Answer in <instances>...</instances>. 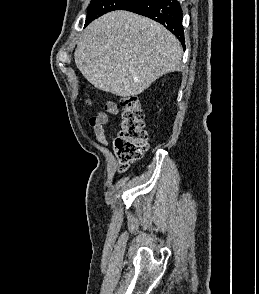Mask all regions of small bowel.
I'll use <instances>...</instances> for the list:
<instances>
[{
    "label": "small bowel",
    "mask_w": 259,
    "mask_h": 294,
    "mask_svg": "<svg viewBox=\"0 0 259 294\" xmlns=\"http://www.w3.org/2000/svg\"><path fill=\"white\" fill-rule=\"evenodd\" d=\"M118 112V105L115 102H108L103 112H98L89 119V126L93 129L96 140L104 146L107 145L104 127L108 123L109 115H117Z\"/></svg>",
    "instance_id": "small-bowel-1"
}]
</instances>
